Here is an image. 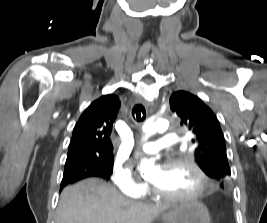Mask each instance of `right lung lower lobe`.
Wrapping results in <instances>:
<instances>
[{
  "label": "right lung lower lobe",
  "instance_id": "obj_1",
  "mask_svg": "<svg viewBox=\"0 0 267 223\" xmlns=\"http://www.w3.org/2000/svg\"><path fill=\"white\" fill-rule=\"evenodd\" d=\"M87 177H100V178H102V176L100 174L92 173L90 171L77 170V171L64 172L63 179L61 182L60 191L67 184L72 183V182L77 181V180H80V179H83V178H87Z\"/></svg>",
  "mask_w": 267,
  "mask_h": 223
}]
</instances>
